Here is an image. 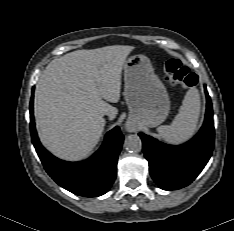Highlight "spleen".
<instances>
[{
    "mask_svg": "<svg viewBox=\"0 0 234 231\" xmlns=\"http://www.w3.org/2000/svg\"><path fill=\"white\" fill-rule=\"evenodd\" d=\"M200 106L198 90L189 89L172 123L158 127L159 136L170 144H180L189 140L197 128Z\"/></svg>",
    "mask_w": 234,
    "mask_h": 231,
    "instance_id": "spleen-1",
    "label": "spleen"
}]
</instances>
